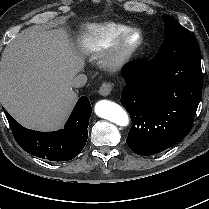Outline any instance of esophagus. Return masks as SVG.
<instances>
[{"label": "esophagus", "instance_id": "1", "mask_svg": "<svg viewBox=\"0 0 209 209\" xmlns=\"http://www.w3.org/2000/svg\"><path fill=\"white\" fill-rule=\"evenodd\" d=\"M113 88V84L111 82H104L99 88V94L106 97L108 96Z\"/></svg>", "mask_w": 209, "mask_h": 209}]
</instances>
